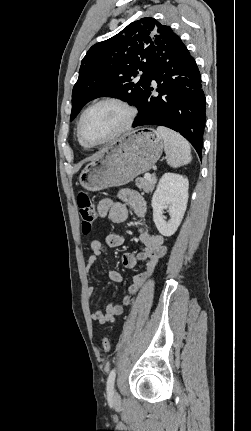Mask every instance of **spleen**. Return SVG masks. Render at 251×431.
<instances>
[{"label": "spleen", "mask_w": 251, "mask_h": 431, "mask_svg": "<svg viewBox=\"0 0 251 431\" xmlns=\"http://www.w3.org/2000/svg\"><path fill=\"white\" fill-rule=\"evenodd\" d=\"M156 132L164 142L167 163L171 167L177 168L191 161L190 145L180 134L162 126L157 127Z\"/></svg>", "instance_id": "obj_1"}]
</instances>
